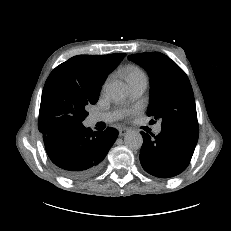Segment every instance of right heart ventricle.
<instances>
[{
    "mask_svg": "<svg viewBox=\"0 0 231 231\" xmlns=\"http://www.w3.org/2000/svg\"><path fill=\"white\" fill-rule=\"evenodd\" d=\"M121 74L127 81L129 87L140 83H147L144 71L137 66H127L122 69Z\"/></svg>",
    "mask_w": 231,
    "mask_h": 231,
    "instance_id": "right-heart-ventricle-1",
    "label": "right heart ventricle"
}]
</instances>
